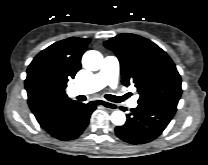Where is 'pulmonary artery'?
<instances>
[{
    "mask_svg": "<svg viewBox=\"0 0 208 165\" xmlns=\"http://www.w3.org/2000/svg\"><path fill=\"white\" fill-rule=\"evenodd\" d=\"M119 73V61L115 56L104 58L100 71L92 75L88 80L79 82L72 87L73 95L90 94L102 89L106 85L114 86ZM126 99V98H125ZM128 105L132 108L137 106V99L129 100Z\"/></svg>",
    "mask_w": 208,
    "mask_h": 165,
    "instance_id": "e3ab8cb5",
    "label": "pulmonary artery"
}]
</instances>
